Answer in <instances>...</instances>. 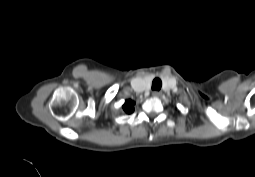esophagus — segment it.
<instances>
[{"label":"esophagus","instance_id":"1","mask_svg":"<svg viewBox=\"0 0 255 177\" xmlns=\"http://www.w3.org/2000/svg\"><path fill=\"white\" fill-rule=\"evenodd\" d=\"M152 96L154 98L160 97L161 96V92L160 91H153Z\"/></svg>","mask_w":255,"mask_h":177}]
</instances>
